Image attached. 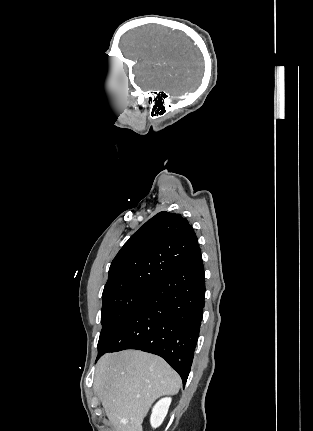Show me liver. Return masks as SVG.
<instances>
[{
  "mask_svg": "<svg viewBox=\"0 0 313 431\" xmlns=\"http://www.w3.org/2000/svg\"><path fill=\"white\" fill-rule=\"evenodd\" d=\"M94 386L115 431H142L151 405L176 394L181 379L162 358L125 350L98 361Z\"/></svg>",
  "mask_w": 313,
  "mask_h": 431,
  "instance_id": "6515ba94",
  "label": "liver"
}]
</instances>
